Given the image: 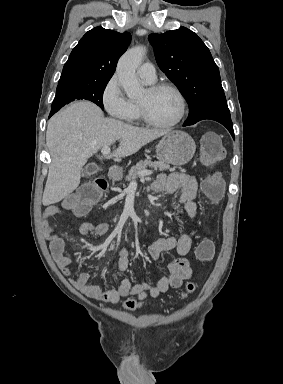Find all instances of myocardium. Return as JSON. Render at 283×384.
Returning a JSON list of instances; mask_svg holds the SVG:
<instances>
[{
	"label": "myocardium",
	"mask_w": 283,
	"mask_h": 384,
	"mask_svg": "<svg viewBox=\"0 0 283 384\" xmlns=\"http://www.w3.org/2000/svg\"><path fill=\"white\" fill-rule=\"evenodd\" d=\"M148 88L152 92H156V91H160V90H169V91L173 92L179 101V113H178L177 117L174 120H172L171 122L159 123V122L154 121L149 116L145 106L142 103L138 102L139 115H140V118L142 119V121L150 127H153L156 129H161V130L171 129V128L175 127L176 125H178L182 121V119L184 118L185 112H186V100H185V97L182 94V92L179 90V88H177L175 85L167 83V82L152 84Z\"/></svg>",
	"instance_id": "f54148a6"
}]
</instances>
